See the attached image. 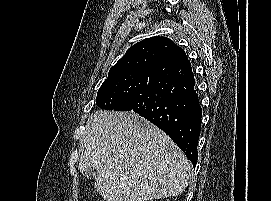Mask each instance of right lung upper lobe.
Returning a JSON list of instances; mask_svg holds the SVG:
<instances>
[{
  "label": "right lung upper lobe",
  "mask_w": 271,
  "mask_h": 201,
  "mask_svg": "<svg viewBox=\"0 0 271 201\" xmlns=\"http://www.w3.org/2000/svg\"><path fill=\"white\" fill-rule=\"evenodd\" d=\"M177 45L166 37L155 36L131 46L125 55L110 69L109 76L139 69H151Z\"/></svg>",
  "instance_id": "1"
}]
</instances>
